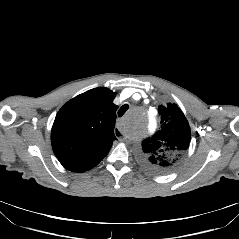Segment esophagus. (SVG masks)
Listing matches in <instances>:
<instances>
[{
  "label": "esophagus",
  "mask_w": 239,
  "mask_h": 239,
  "mask_svg": "<svg viewBox=\"0 0 239 239\" xmlns=\"http://www.w3.org/2000/svg\"><path fill=\"white\" fill-rule=\"evenodd\" d=\"M115 136H117V138L120 140V141H123L124 140V134L121 133L120 129L119 128H114L113 130Z\"/></svg>",
  "instance_id": "1"
}]
</instances>
